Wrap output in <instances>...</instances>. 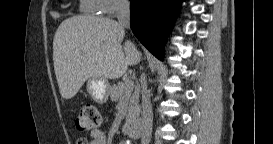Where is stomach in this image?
<instances>
[{
    "instance_id": "1",
    "label": "stomach",
    "mask_w": 273,
    "mask_h": 144,
    "mask_svg": "<svg viewBox=\"0 0 273 144\" xmlns=\"http://www.w3.org/2000/svg\"><path fill=\"white\" fill-rule=\"evenodd\" d=\"M87 92L94 101L104 104L109 98V83L104 78L88 79Z\"/></svg>"
}]
</instances>
